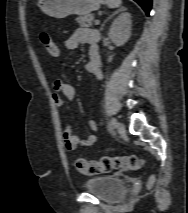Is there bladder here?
Wrapping results in <instances>:
<instances>
[{
    "instance_id": "31cf9c89",
    "label": "bladder",
    "mask_w": 188,
    "mask_h": 213,
    "mask_svg": "<svg viewBox=\"0 0 188 213\" xmlns=\"http://www.w3.org/2000/svg\"><path fill=\"white\" fill-rule=\"evenodd\" d=\"M83 188L103 201L118 200L126 190L125 182L117 176H94L86 179Z\"/></svg>"
}]
</instances>
